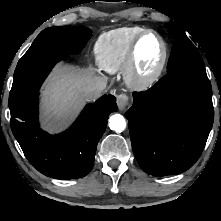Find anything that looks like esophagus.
Wrapping results in <instances>:
<instances>
[{
	"label": "esophagus",
	"mask_w": 221,
	"mask_h": 221,
	"mask_svg": "<svg viewBox=\"0 0 221 221\" xmlns=\"http://www.w3.org/2000/svg\"><path fill=\"white\" fill-rule=\"evenodd\" d=\"M129 103V98L126 94H120L117 96V105L121 111L125 110Z\"/></svg>",
	"instance_id": "1"
}]
</instances>
